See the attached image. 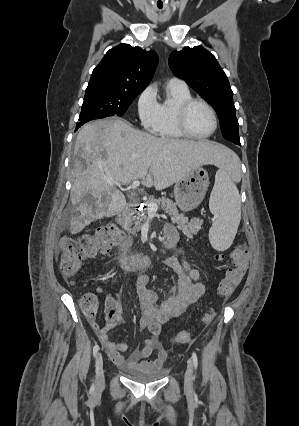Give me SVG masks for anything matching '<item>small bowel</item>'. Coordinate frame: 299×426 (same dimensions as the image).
Segmentation results:
<instances>
[{
	"label": "small bowel",
	"instance_id": "obj_1",
	"mask_svg": "<svg viewBox=\"0 0 299 426\" xmlns=\"http://www.w3.org/2000/svg\"><path fill=\"white\" fill-rule=\"evenodd\" d=\"M164 234L172 245L178 243L179 234L174 226L167 225ZM162 263L175 272L177 282L169 287L167 296L159 303L158 294L149 284V277L146 274L137 276L136 293L141 309L140 328L146 331L147 335L143 346L133 349L128 358L122 356V353L128 350L127 344L114 342L108 335L110 329L120 321L117 298L111 294L105 295V325L100 326L93 317L90 318L99 341L117 367L142 369L162 367L167 359V353L160 341L162 325L181 315L205 291L198 271L189 264L182 247L179 249V257L168 256ZM153 354L154 357L150 358Z\"/></svg>",
	"mask_w": 299,
	"mask_h": 426
}]
</instances>
